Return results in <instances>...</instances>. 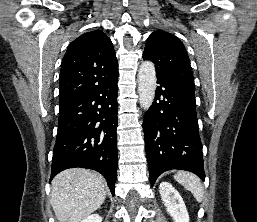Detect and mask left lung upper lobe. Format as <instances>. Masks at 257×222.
Instances as JSON below:
<instances>
[{"label":"left lung upper lobe","mask_w":257,"mask_h":222,"mask_svg":"<svg viewBox=\"0 0 257 222\" xmlns=\"http://www.w3.org/2000/svg\"><path fill=\"white\" fill-rule=\"evenodd\" d=\"M143 59L155 64L156 73L195 90L187 51L175 35L161 30L154 31L147 39Z\"/></svg>","instance_id":"left-lung-upper-lobe-1"}]
</instances>
